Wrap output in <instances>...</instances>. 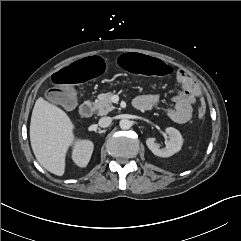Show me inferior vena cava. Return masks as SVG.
<instances>
[{
    "label": "inferior vena cava",
    "mask_w": 241,
    "mask_h": 241,
    "mask_svg": "<svg viewBox=\"0 0 241 241\" xmlns=\"http://www.w3.org/2000/svg\"><path fill=\"white\" fill-rule=\"evenodd\" d=\"M112 122V118L111 117H102L99 119V126L102 127V128H106L108 127Z\"/></svg>",
    "instance_id": "602c4592"
}]
</instances>
